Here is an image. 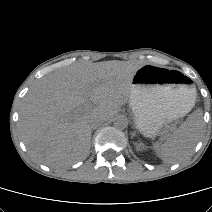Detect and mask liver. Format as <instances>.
<instances>
[{
	"label": "liver",
	"instance_id": "obj_1",
	"mask_svg": "<svg viewBox=\"0 0 212 212\" xmlns=\"http://www.w3.org/2000/svg\"><path fill=\"white\" fill-rule=\"evenodd\" d=\"M140 66L126 61L75 63L39 80L24 98L18 125L31 156L47 166L86 158L91 120H107L129 101ZM88 101L95 106L75 113Z\"/></svg>",
	"mask_w": 212,
	"mask_h": 212
}]
</instances>
